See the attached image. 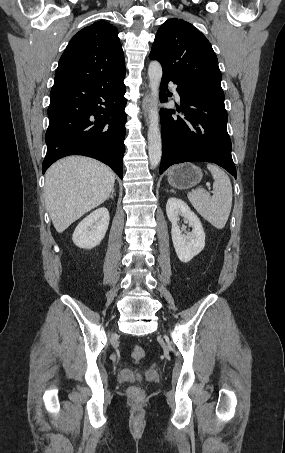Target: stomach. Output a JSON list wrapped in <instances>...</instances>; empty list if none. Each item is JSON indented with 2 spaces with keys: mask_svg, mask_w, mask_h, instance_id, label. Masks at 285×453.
<instances>
[{
  "mask_svg": "<svg viewBox=\"0 0 285 453\" xmlns=\"http://www.w3.org/2000/svg\"><path fill=\"white\" fill-rule=\"evenodd\" d=\"M202 170L192 163L173 166L168 172L169 184L177 189H188L197 185L202 179Z\"/></svg>",
  "mask_w": 285,
  "mask_h": 453,
  "instance_id": "0dacf381",
  "label": "stomach"
}]
</instances>
